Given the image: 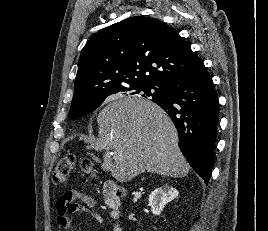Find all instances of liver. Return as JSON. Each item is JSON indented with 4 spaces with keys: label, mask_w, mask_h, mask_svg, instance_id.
I'll return each instance as SVG.
<instances>
[{
    "label": "liver",
    "mask_w": 268,
    "mask_h": 231,
    "mask_svg": "<svg viewBox=\"0 0 268 231\" xmlns=\"http://www.w3.org/2000/svg\"><path fill=\"white\" fill-rule=\"evenodd\" d=\"M97 123L98 138L88 148L105 150L101 168L118 182L144 172L173 178L188 174L190 166L179 149L176 128L157 104L128 96L105 106Z\"/></svg>",
    "instance_id": "1"
}]
</instances>
